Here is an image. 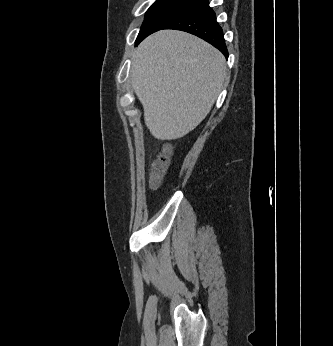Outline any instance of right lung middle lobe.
Segmentation results:
<instances>
[{
    "mask_svg": "<svg viewBox=\"0 0 333 346\" xmlns=\"http://www.w3.org/2000/svg\"><path fill=\"white\" fill-rule=\"evenodd\" d=\"M188 0H156L146 12L136 44L151 33L161 30Z\"/></svg>",
    "mask_w": 333,
    "mask_h": 346,
    "instance_id": "right-lung-middle-lobe-1",
    "label": "right lung middle lobe"
}]
</instances>
